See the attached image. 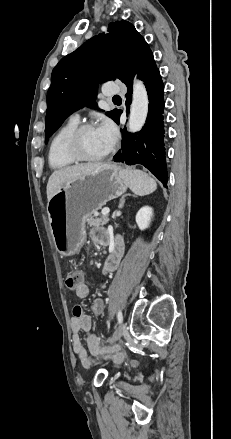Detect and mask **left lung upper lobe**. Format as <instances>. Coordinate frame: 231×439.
<instances>
[{"mask_svg":"<svg viewBox=\"0 0 231 439\" xmlns=\"http://www.w3.org/2000/svg\"><path fill=\"white\" fill-rule=\"evenodd\" d=\"M148 44L125 21L110 23L108 32L94 36L55 66L47 93L46 142L74 111L87 105L95 108L98 82L120 79L132 74ZM117 109L106 113L113 120Z\"/></svg>","mask_w":231,"mask_h":439,"instance_id":"5c2ea615","label":"left lung upper lobe"}]
</instances>
